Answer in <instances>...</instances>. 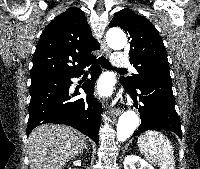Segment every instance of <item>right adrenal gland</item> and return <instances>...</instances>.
<instances>
[{
	"mask_svg": "<svg viewBox=\"0 0 200 169\" xmlns=\"http://www.w3.org/2000/svg\"><path fill=\"white\" fill-rule=\"evenodd\" d=\"M87 150L89 151L88 145L87 144H83L82 149L80 150V153H83V150Z\"/></svg>",
	"mask_w": 200,
	"mask_h": 169,
	"instance_id": "1",
	"label": "right adrenal gland"
}]
</instances>
